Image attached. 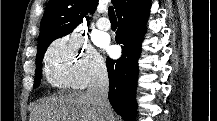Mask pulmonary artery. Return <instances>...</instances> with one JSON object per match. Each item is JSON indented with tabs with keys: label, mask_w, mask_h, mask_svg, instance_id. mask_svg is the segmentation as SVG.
<instances>
[{
	"label": "pulmonary artery",
	"mask_w": 217,
	"mask_h": 121,
	"mask_svg": "<svg viewBox=\"0 0 217 121\" xmlns=\"http://www.w3.org/2000/svg\"><path fill=\"white\" fill-rule=\"evenodd\" d=\"M97 27L102 31H108L111 28V23L106 17H101L97 20Z\"/></svg>",
	"instance_id": "obj_1"
}]
</instances>
